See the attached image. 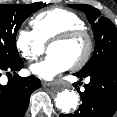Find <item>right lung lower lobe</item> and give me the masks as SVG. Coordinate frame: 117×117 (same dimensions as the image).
Masks as SVG:
<instances>
[{
  "label": "right lung lower lobe",
  "mask_w": 117,
  "mask_h": 117,
  "mask_svg": "<svg viewBox=\"0 0 117 117\" xmlns=\"http://www.w3.org/2000/svg\"><path fill=\"white\" fill-rule=\"evenodd\" d=\"M24 65L23 60L0 63V71L13 72L6 85L0 84V117H23L31 93L41 87V82L34 76L20 77L16 74ZM1 76V73H0Z\"/></svg>",
  "instance_id": "right-lung-lower-lobe-1"
}]
</instances>
